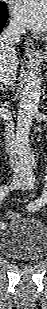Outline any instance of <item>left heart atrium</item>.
<instances>
[{
	"mask_svg": "<svg viewBox=\"0 0 47 309\" xmlns=\"http://www.w3.org/2000/svg\"><path fill=\"white\" fill-rule=\"evenodd\" d=\"M12 14L22 25L34 29L45 30L47 26L46 0H15Z\"/></svg>",
	"mask_w": 47,
	"mask_h": 309,
	"instance_id": "left-heart-atrium-1",
	"label": "left heart atrium"
}]
</instances>
